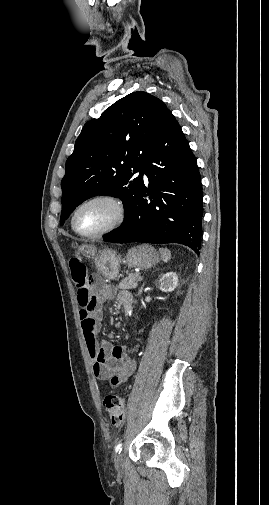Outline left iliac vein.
Listing matches in <instances>:
<instances>
[{
    "label": "left iliac vein",
    "mask_w": 269,
    "mask_h": 505,
    "mask_svg": "<svg viewBox=\"0 0 269 505\" xmlns=\"http://www.w3.org/2000/svg\"><path fill=\"white\" fill-rule=\"evenodd\" d=\"M114 462H115V468L118 471H122L124 469V459H123V454L122 453H118L115 456Z\"/></svg>",
    "instance_id": "4c4485c4"
}]
</instances>
